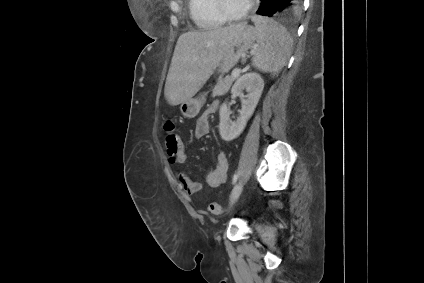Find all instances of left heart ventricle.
I'll return each instance as SVG.
<instances>
[{
	"mask_svg": "<svg viewBox=\"0 0 424 283\" xmlns=\"http://www.w3.org/2000/svg\"><path fill=\"white\" fill-rule=\"evenodd\" d=\"M250 0H225V4L232 13L243 12Z\"/></svg>",
	"mask_w": 424,
	"mask_h": 283,
	"instance_id": "left-heart-ventricle-1",
	"label": "left heart ventricle"
}]
</instances>
